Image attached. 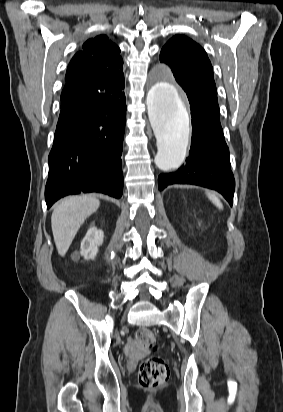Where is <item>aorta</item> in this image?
Instances as JSON below:
<instances>
[{"label":"aorta","mask_w":283,"mask_h":412,"mask_svg":"<svg viewBox=\"0 0 283 412\" xmlns=\"http://www.w3.org/2000/svg\"><path fill=\"white\" fill-rule=\"evenodd\" d=\"M146 102L157 139L155 164L163 171L178 168L185 159L189 141L185 98L174 84L160 78L150 87Z\"/></svg>","instance_id":"1"}]
</instances>
